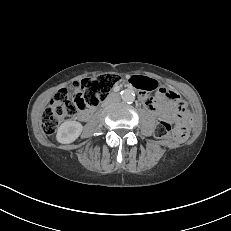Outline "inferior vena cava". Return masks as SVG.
Instances as JSON below:
<instances>
[{
  "label": "inferior vena cava",
  "mask_w": 231,
  "mask_h": 231,
  "mask_svg": "<svg viewBox=\"0 0 231 231\" xmlns=\"http://www.w3.org/2000/svg\"><path fill=\"white\" fill-rule=\"evenodd\" d=\"M118 100V95L116 94H110L109 97L107 98L108 103H113Z\"/></svg>",
  "instance_id": "inferior-vena-cava-1"
}]
</instances>
